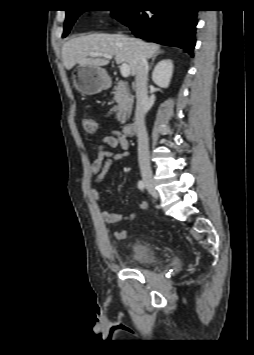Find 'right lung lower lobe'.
Wrapping results in <instances>:
<instances>
[{"label":"right lung lower lobe","instance_id":"obj_1","mask_svg":"<svg viewBox=\"0 0 254 355\" xmlns=\"http://www.w3.org/2000/svg\"><path fill=\"white\" fill-rule=\"evenodd\" d=\"M157 4L160 8L151 10L152 14L146 13L141 8L143 5H140L133 7L119 21L139 38L159 44L176 45L193 55L197 10L190 8L189 3L178 0Z\"/></svg>","mask_w":254,"mask_h":355}]
</instances>
